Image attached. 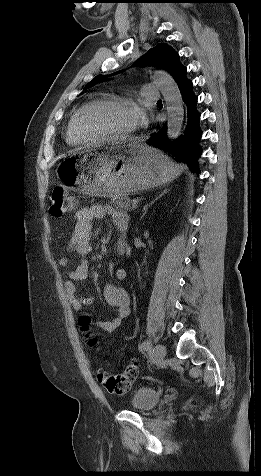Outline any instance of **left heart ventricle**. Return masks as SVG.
I'll list each match as a JSON object with an SVG mask.
<instances>
[{"instance_id": "obj_1", "label": "left heart ventricle", "mask_w": 261, "mask_h": 476, "mask_svg": "<svg viewBox=\"0 0 261 476\" xmlns=\"http://www.w3.org/2000/svg\"><path fill=\"white\" fill-rule=\"evenodd\" d=\"M81 128L90 136L123 134L136 125V116L131 107L99 105L88 109L81 117Z\"/></svg>"}]
</instances>
